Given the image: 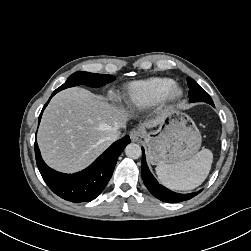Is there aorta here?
Masks as SVG:
<instances>
[{"mask_svg": "<svg viewBox=\"0 0 251 251\" xmlns=\"http://www.w3.org/2000/svg\"><path fill=\"white\" fill-rule=\"evenodd\" d=\"M125 154L131 159H138L141 154V147L136 143H130L125 148Z\"/></svg>", "mask_w": 251, "mask_h": 251, "instance_id": "762f6f07", "label": "aorta"}]
</instances>
